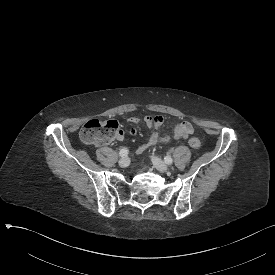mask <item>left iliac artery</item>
Instances as JSON below:
<instances>
[{
  "label": "left iliac artery",
  "instance_id": "44dca946",
  "mask_svg": "<svg viewBox=\"0 0 275 275\" xmlns=\"http://www.w3.org/2000/svg\"><path fill=\"white\" fill-rule=\"evenodd\" d=\"M164 160H165V163H166V164H172V162H173V159L171 158V156H166V157L164 158Z\"/></svg>",
  "mask_w": 275,
  "mask_h": 275
}]
</instances>
